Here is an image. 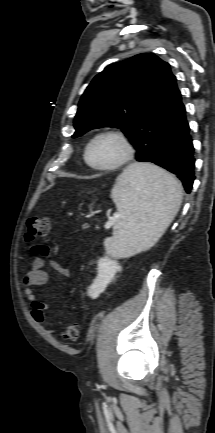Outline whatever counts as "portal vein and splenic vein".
I'll return each instance as SVG.
<instances>
[{
    "label": "portal vein and splenic vein",
    "instance_id": "portal-vein-and-splenic-vein-1",
    "mask_svg": "<svg viewBox=\"0 0 215 433\" xmlns=\"http://www.w3.org/2000/svg\"><path fill=\"white\" fill-rule=\"evenodd\" d=\"M115 220H116V217H114L113 219H111L110 221H108L106 223V228L109 229L113 225V223L115 222Z\"/></svg>",
    "mask_w": 215,
    "mask_h": 433
}]
</instances>
